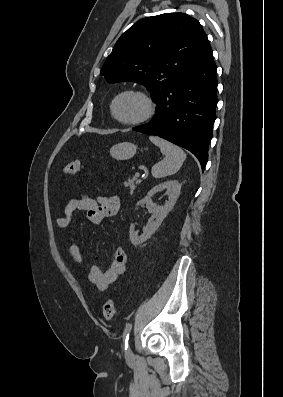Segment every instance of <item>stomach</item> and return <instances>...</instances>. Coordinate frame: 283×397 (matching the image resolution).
<instances>
[{
	"label": "stomach",
	"instance_id": "stomach-1",
	"mask_svg": "<svg viewBox=\"0 0 283 397\" xmlns=\"http://www.w3.org/2000/svg\"><path fill=\"white\" fill-rule=\"evenodd\" d=\"M137 151V146L130 142L115 144L110 149V155L116 160H127L132 158Z\"/></svg>",
	"mask_w": 283,
	"mask_h": 397
}]
</instances>
